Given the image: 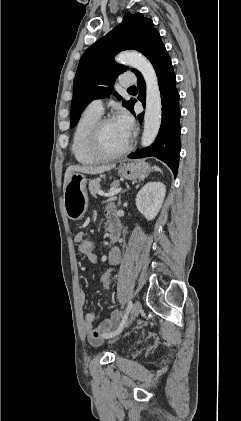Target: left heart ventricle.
<instances>
[{
    "mask_svg": "<svg viewBox=\"0 0 241 421\" xmlns=\"http://www.w3.org/2000/svg\"><path fill=\"white\" fill-rule=\"evenodd\" d=\"M129 138L115 121L106 124L102 130L101 143L105 151L115 153L122 150Z\"/></svg>",
    "mask_w": 241,
    "mask_h": 421,
    "instance_id": "obj_1",
    "label": "left heart ventricle"
}]
</instances>
